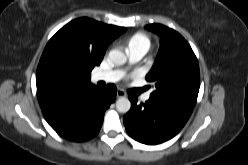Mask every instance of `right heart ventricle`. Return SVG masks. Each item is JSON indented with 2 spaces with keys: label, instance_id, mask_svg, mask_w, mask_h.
Here are the masks:
<instances>
[{
  "label": "right heart ventricle",
  "instance_id": "1",
  "mask_svg": "<svg viewBox=\"0 0 248 165\" xmlns=\"http://www.w3.org/2000/svg\"><path fill=\"white\" fill-rule=\"evenodd\" d=\"M127 46L128 49L135 46H144L149 49L150 39L146 34L136 33L128 39Z\"/></svg>",
  "mask_w": 248,
  "mask_h": 165
}]
</instances>
